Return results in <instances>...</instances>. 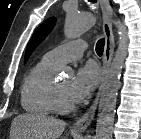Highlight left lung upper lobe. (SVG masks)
<instances>
[{
    "mask_svg": "<svg viewBox=\"0 0 141 139\" xmlns=\"http://www.w3.org/2000/svg\"><path fill=\"white\" fill-rule=\"evenodd\" d=\"M56 20L54 18L47 19L44 23H42L34 32L31 40L28 43L25 53V62L28 60L29 56L33 52V50L44 40V38L50 33L52 30Z\"/></svg>",
    "mask_w": 141,
    "mask_h": 139,
    "instance_id": "1",
    "label": "left lung upper lobe"
}]
</instances>
